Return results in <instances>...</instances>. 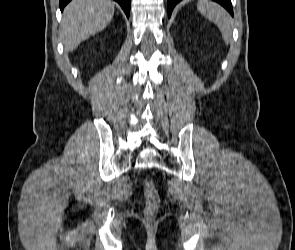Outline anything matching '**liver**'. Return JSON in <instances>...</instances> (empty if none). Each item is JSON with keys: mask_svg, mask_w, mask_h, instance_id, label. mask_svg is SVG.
Returning <instances> with one entry per match:
<instances>
[{"mask_svg": "<svg viewBox=\"0 0 295 250\" xmlns=\"http://www.w3.org/2000/svg\"><path fill=\"white\" fill-rule=\"evenodd\" d=\"M114 15L110 0H72L61 23L65 51H73L90 36L101 32Z\"/></svg>", "mask_w": 295, "mask_h": 250, "instance_id": "6515ba94", "label": "liver"}]
</instances>
